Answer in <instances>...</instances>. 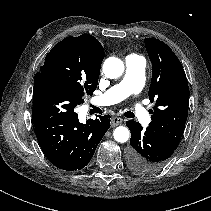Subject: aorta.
Returning <instances> with one entry per match:
<instances>
[{
	"instance_id": "1",
	"label": "aorta",
	"mask_w": 211,
	"mask_h": 211,
	"mask_svg": "<svg viewBox=\"0 0 211 211\" xmlns=\"http://www.w3.org/2000/svg\"><path fill=\"white\" fill-rule=\"evenodd\" d=\"M103 72L107 78H118L124 72V63L119 58L109 57L103 64ZM113 136L117 142L124 143L129 139L130 131L125 126H119L114 130Z\"/></svg>"
}]
</instances>
